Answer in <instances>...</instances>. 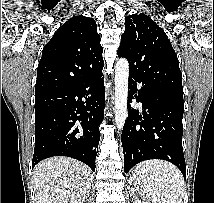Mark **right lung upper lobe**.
<instances>
[{"instance_id": "cb5924a9", "label": "right lung upper lobe", "mask_w": 214, "mask_h": 203, "mask_svg": "<svg viewBox=\"0 0 214 203\" xmlns=\"http://www.w3.org/2000/svg\"><path fill=\"white\" fill-rule=\"evenodd\" d=\"M102 52L96 22L82 15L69 19L43 48L35 98L101 72L104 66Z\"/></svg>"}]
</instances>
